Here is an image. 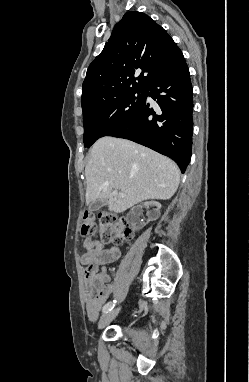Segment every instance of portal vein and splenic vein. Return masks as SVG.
I'll list each match as a JSON object with an SVG mask.
<instances>
[{
    "mask_svg": "<svg viewBox=\"0 0 249 382\" xmlns=\"http://www.w3.org/2000/svg\"><path fill=\"white\" fill-rule=\"evenodd\" d=\"M112 195H113L114 197H117V196L124 197V194L121 193V192H118V190H116V189L112 191Z\"/></svg>",
    "mask_w": 249,
    "mask_h": 382,
    "instance_id": "portal-vein-and-splenic-vein-1",
    "label": "portal vein and splenic vein"
}]
</instances>
